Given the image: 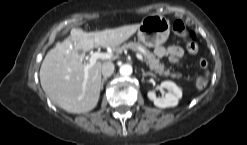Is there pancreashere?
<instances>
[{"instance_id":"pancreas-1","label":"pancreas","mask_w":247,"mask_h":145,"mask_svg":"<svg viewBox=\"0 0 247 145\" xmlns=\"http://www.w3.org/2000/svg\"><path fill=\"white\" fill-rule=\"evenodd\" d=\"M131 49L133 51L140 52L145 62L149 65L150 69L154 71L156 74H159L161 76H171V77H180L181 75L179 73L175 74L170 71V69H166L164 64L160 63V60L155 57V55L147 50L143 45L137 42H129L125 43L119 48L115 49V52L118 54H121L125 50Z\"/></svg>"}]
</instances>
